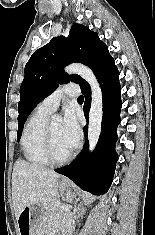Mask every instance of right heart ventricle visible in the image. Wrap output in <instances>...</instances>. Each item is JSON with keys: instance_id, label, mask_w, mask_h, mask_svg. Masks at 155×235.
I'll return each mask as SVG.
<instances>
[{"instance_id": "1", "label": "right heart ventricle", "mask_w": 155, "mask_h": 235, "mask_svg": "<svg viewBox=\"0 0 155 235\" xmlns=\"http://www.w3.org/2000/svg\"><path fill=\"white\" fill-rule=\"evenodd\" d=\"M49 114L37 108L28 117L23 129L21 149L24 158L33 165L42 166L49 163L43 151L44 131Z\"/></svg>"}]
</instances>
